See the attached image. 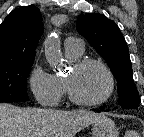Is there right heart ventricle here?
<instances>
[{"label":"right heart ventricle","mask_w":144,"mask_h":137,"mask_svg":"<svg viewBox=\"0 0 144 137\" xmlns=\"http://www.w3.org/2000/svg\"><path fill=\"white\" fill-rule=\"evenodd\" d=\"M81 53H75L74 51L70 50V49H66V56L70 61H75L80 57ZM58 79V82L60 84V87L62 89V93L65 92V86H64V81L63 78L59 75H55Z\"/></svg>","instance_id":"obj_1"}]
</instances>
